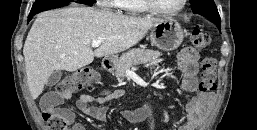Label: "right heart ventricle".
Returning a JSON list of instances; mask_svg holds the SVG:
<instances>
[{
	"label": "right heart ventricle",
	"instance_id": "right-heart-ventricle-1",
	"mask_svg": "<svg viewBox=\"0 0 257 130\" xmlns=\"http://www.w3.org/2000/svg\"><path fill=\"white\" fill-rule=\"evenodd\" d=\"M116 7L128 15H142L148 12L142 0H116Z\"/></svg>",
	"mask_w": 257,
	"mask_h": 130
}]
</instances>
